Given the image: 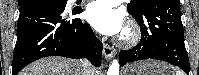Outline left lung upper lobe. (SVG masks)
I'll use <instances>...</instances> for the list:
<instances>
[{
  "label": "left lung upper lobe",
  "instance_id": "left-lung-upper-lobe-1",
  "mask_svg": "<svg viewBox=\"0 0 199 75\" xmlns=\"http://www.w3.org/2000/svg\"><path fill=\"white\" fill-rule=\"evenodd\" d=\"M156 1L157 0H131L130 4L127 5V9L130 13L140 16L150 4Z\"/></svg>",
  "mask_w": 199,
  "mask_h": 75
}]
</instances>
